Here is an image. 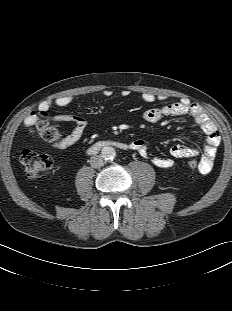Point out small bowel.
Returning a JSON list of instances; mask_svg holds the SVG:
<instances>
[{"instance_id":"c3829d8e","label":"small bowel","mask_w":232,"mask_h":311,"mask_svg":"<svg viewBox=\"0 0 232 311\" xmlns=\"http://www.w3.org/2000/svg\"><path fill=\"white\" fill-rule=\"evenodd\" d=\"M103 95L105 97H110L112 92L110 90H104ZM121 95L127 97L130 95V91L123 90ZM75 98L76 96L74 95H63L45 99L40 103L39 111L45 113L53 106H67L71 104ZM157 98L164 99V97L156 96L151 92L141 93V99L148 103L155 101ZM165 116H190L194 120L195 124L205 135L199 169L202 173L210 172L221 136L218 128L205 111L199 105L191 104L186 99H182L162 107L147 109L143 113V119L148 123H156ZM49 120L57 123L71 122L74 124V128L68 135L53 144V146L58 149H66L79 142L87 127V119L81 114H58L52 116ZM37 122L38 116L35 112H32L24 119V126L26 128H32ZM130 146L132 150L138 152L142 157L149 156L148 145L145 140L136 139L130 143ZM199 152L200 150L196 147L176 144L170 148L171 157L153 156L151 161L158 168L169 169L174 165L173 158L196 156Z\"/></svg>"}]
</instances>
